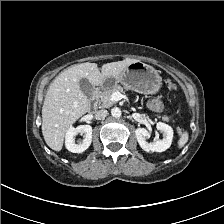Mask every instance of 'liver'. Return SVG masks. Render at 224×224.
Listing matches in <instances>:
<instances>
[{"mask_svg":"<svg viewBox=\"0 0 224 224\" xmlns=\"http://www.w3.org/2000/svg\"><path fill=\"white\" fill-rule=\"evenodd\" d=\"M138 60L127 58L104 64L101 72L96 63L74 65L61 72L50 84L42 107V133L54 151L63 147L68 129L89 111V101L81 91L79 80L86 78L99 86L107 77L118 76L129 64Z\"/></svg>","mask_w":224,"mask_h":224,"instance_id":"liver-1","label":"liver"}]
</instances>
